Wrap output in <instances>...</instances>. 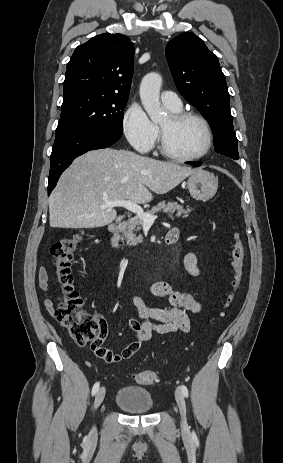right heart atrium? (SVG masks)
<instances>
[{"label": "right heart atrium", "mask_w": 283, "mask_h": 463, "mask_svg": "<svg viewBox=\"0 0 283 463\" xmlns=\"http://www.w3.org/2000/svg\"><path fill=\"white\" fill-rule=\"evenodd\" d=\"M123 131L131 146L139 152L150 151L158 138L157 126L137 102L132 103L124 114Z\"/></svg>", "instance_id": "right-heart-atrium-1"}]
</instances>
